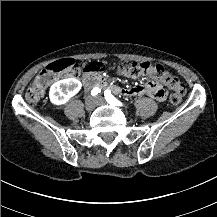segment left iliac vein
<instances>
[{
    "label": "left iliac vein",
    "instance_id": "left-iliac-vein-1",
    "mask_svg": "<svg viewBox=\"0 0 217 217\" xmlns=\"http://www.w3.org/2000/svg\"><path fill=\"white\" fill-rule=\"evenodd\" d=\"M96 101H97L98 103H103V102H104V100H102L101 98H97Z\"/></svg>",
    "mask_w": 217,
    "mask_h": 217
}]
</instances>
